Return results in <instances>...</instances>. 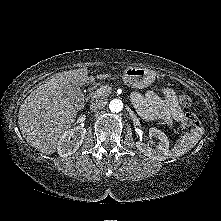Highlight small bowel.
Masks as SVG:
<instances>
[{
	"mask_svg": "<svg viewBox=\"0 0 221 221\" xmlns=\"http://www.w3.org/2000/svg\"><path fill=\"white\" fill-rule=\"evenodd\" d=\"M132 99L139 115L145 120H162L172 126L173 122L184 117L178 96L170 87H161L144 95L134 93Z\"/></svg>",
	"mask_w": 221,
	"mask_h": 221,
	"instance_id": "1",
	"label": "small bowel"
}]
</instances>
